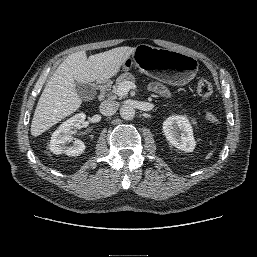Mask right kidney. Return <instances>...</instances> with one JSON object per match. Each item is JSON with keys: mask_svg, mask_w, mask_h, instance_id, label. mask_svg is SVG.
<instances>
[{"mask_svg": "<svg viewBox=\"0 0 257 257\" xmlns=\"http://www.w3.org/2000/svg\"><path fill=\"white\" fill-rule=\"evenodd\" d=\"M86 115L79 113L63 122L56 131L53 132L49 144L51 152L56 155L65 154L67 156H77L82 154L86 146L80 140H75L73 145L67 143L72 140L69 135L70 131L74 128L80 127L85 121Z\"/></svg>", "mask_w": 257, "mask_h": 257, "instance_id": "ca27d5eb", "label": "right kidney"}]
</instances>
